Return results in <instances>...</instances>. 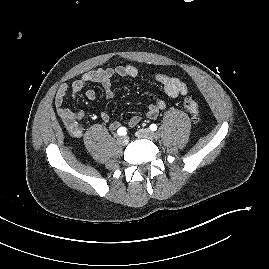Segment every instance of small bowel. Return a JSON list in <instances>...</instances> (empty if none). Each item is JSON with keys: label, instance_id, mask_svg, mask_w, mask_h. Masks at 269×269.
I'll return each instance as SVG.
<instances>
[{"label": "small bowel", "instance_id": "c3829d8e", "mask_svg": "<svg viewBox=\"0 0 269 269\" xmlns=\"http://www.w3.org/2000/svg\"><path fill=\"white\" fill-rule=\"evenodd\" d=\"M140 72L138 68L133 64L119 65L115 68H99L84 73L78 79L74 80L71 85L63 83L55 96V107L57 114L63 120L68 132L75 138H80L83 135L84 127L82 120L85 116L83 110H71L65 106V100L68 92L70 91L72 96H76L82 89L90 83H99L102 85L105 96L112 98L114 91L112 88V79L115 76L118 77H138ZM153 78L158 82L165 94L170 98L183 97L188 93L186 84L177 77L169 76L164 73L155 72ZM86 98L89 101H94L96 93L94 90L89 89L86 91ZM166 108V102L163 99H158L155 103L150 104L147 109V116L154 119L158 116L159 112ZM100 119L108 123L110 116L106 111L100 113ZM141 120L138 115L132 116L128 125L130 127L136 126ZM120 123L117 121L109 124V129L115 131L119 129Z\"/></svg>", "mask_w": 269, "mask_h": 269}]
</instances>
